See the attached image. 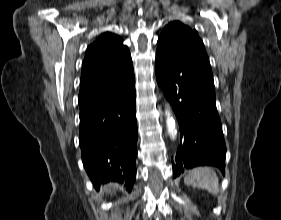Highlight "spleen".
<instances>
[{
    "label": "spleen",
    "mask_w": 281,
    "mask_h": 220,
    "mask_svg": "<svg viewBox=\"0 0 281 220\" xmlns=\"http://www.w3.org/2000/svg\"><path fill=\"white\" fill-rule=\"evenodd\" d=\"M186 185H191L209 191L217 195L220 191L217 174L210 167H197L188 172L184 178Z\"/></svg>",
    "instance_id": "obj_1"
}]
</instances>
